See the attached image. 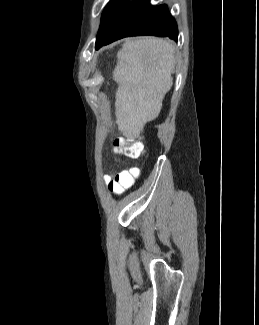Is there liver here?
<instances>
[{
    "mask_svg": "<svg viewBox=\"0 0 259 325\" xmlns=\"http://www.w3.org/2000/svg\"><path fill=\"white\" fill-rule=\"evenodd\" d=\"M175 46L162 38L126 39L117 53L113 79L118 84L115 116L127 139L140 136L158 117L165 94L173 85Z\"/></svg>",
    "mask_w": 259,
    "mask_h": 325,
    "instance_id": "obj_1",
    "label": "liver"
}]
</instances>
